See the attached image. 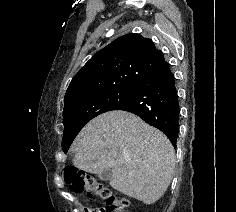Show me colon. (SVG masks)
<instances>
[{
  "label": "colon",
  "instance_id": "5ec220e1",
  "mask_svg": "<svg viewBox=\"0 0 236 212\" xmlns=\"http://www.w3.org/2000/svg\"><path fill=\"white\" fill-rule=\"evenodd\" d=\"M64 178L75 194H87L89 197H99L104 200L105 207L91 208L89 212H126L128 201L115 195L91 175L74 167H68L65 169Z\"/></svg>",
  "mask_w": 236,
  "mask_h": 212
}]
</instances>
